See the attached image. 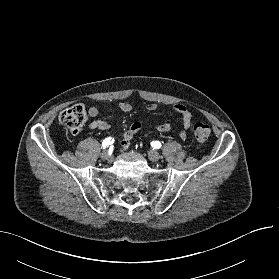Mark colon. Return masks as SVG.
Instances as JSON below:
<instances>
[{"mask_svg":"<svg viewBox=\"0 0 279 279\" xmlns=\"http://www.w3.org/2000/svg\"><path fill=\"white\" fill-rule=\"evenodd\" d=\"M60 122L73 134L78 133L87 119V113L83 105L77 104L63 110L59 116ZM193 132L197 142L203 145L209 135V126L202 122H195Z\"/></svg>","mask_w":279,"mask_h":279,"instance_id":"obj_1","label":"colon"}]
</instances>
